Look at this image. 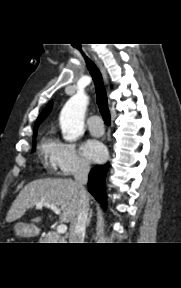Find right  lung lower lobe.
I'll return each mask as SVG.
<instances>
[{
    "instance_id": "1",
    "label": "right lung lower lobe",
    "mask_w": 181,
    "mask_h": 288,
    "mask_svg": "<svg viewBox=\"0 0 181 288\" xmlns=\"http://www.w3.org/2000/svg\"><path fill=\"white\" fill-rule=\"evenodd\" d=\"M108 167V164L94 167L89 174L88 181L89 192L96 198L103 208H106L105 176Z\"/></svg>"
}]
</instances>
